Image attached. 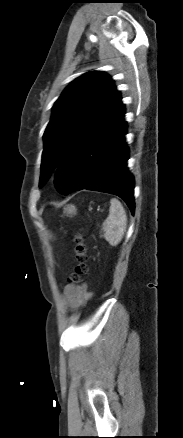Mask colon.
<instances>
[{
    "mask_svg": "<svg viewBox=\"0 0 183 438\" xmlns=\"http://www.w3.org/2000/svg\"><path fill=\"white\" fill-rule=\"evenodd\" d=\"M75 254L76 258L78 260V264L74 269V272L69 277L70 283H77L80 280V277L86 272V248L83 244L80 235H77L75 238Z\"/></svg>",
    "mask_w": 183,
    "mask_h": 438,
    "instance_id": "5ec220e1",
    "label": "colon"
}]
</instances>
